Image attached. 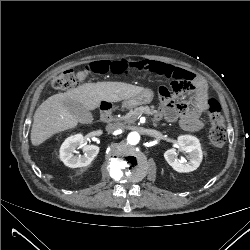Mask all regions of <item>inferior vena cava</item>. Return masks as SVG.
<instances>
[{
  "label": "inferior vena cava",
  "mask_w": 250,
  "mask_h": 250,
  "mask_svg": "<svg viewBox=\"0 0 250 250\" xmlns=\"http://www.w3.org/2000/svg\"><path fill=\"white\" fill-rule=\"evenodd\" d=\"M120 129H123L122 126H119L117 124H108L106 126V130L109 132V133H112L114 131H117V130H120Z\"/></svg>",
  "instance_id": "obj_1"
}]
</instances>
